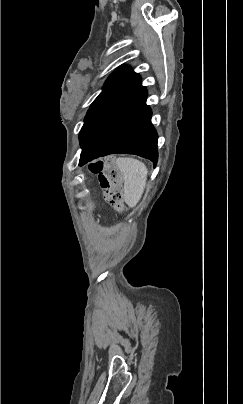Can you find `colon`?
<instances>
[{
	"label": "colon",
	"instance_id": "obj_1",
	"mask_svg": "<svg viewBox=\"0 0 243 404\" xmlns=\"http://www.w3.org/2000/svg\"><path fill=\"white\" fill-rule=\"evenodd\" d=\"M90 170L99 176L107 202L115 208H121L123 205L122 176L118 165L113 160L106 163L97 162L91 164Z\"/></svg>",
	"mask_w": 243,
	"mask_h": 404
}]
</instances>
